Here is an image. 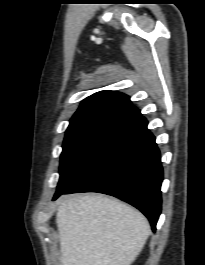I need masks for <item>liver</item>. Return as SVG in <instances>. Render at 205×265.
<instances>
[{
  "label": "liver",
  "instance_id": "obj_1",
  "mask_svg": "<svg viewBox=\"0 0 205 265\" xmlns=\"http://www.w3.org/2000/svg\"><path fill=\"white\" fill-rule=\"evenodd\" d=\"M56 223L63 265H130L151 233L138 210L94 194L60 200Z\"/></svg>",
  "mask_w": 205,
  "mask_h": 265
}]
</instances>
